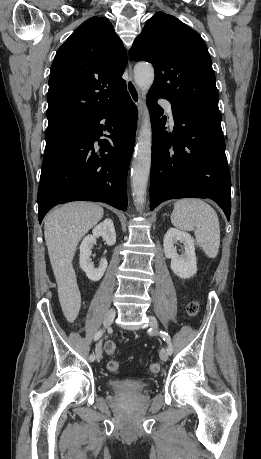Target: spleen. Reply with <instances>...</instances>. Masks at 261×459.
Listing matches in <instances>:
<instances>
[{"instance_id":"obj_1","label":"spleen","mask_w":261,"mask_h":459,"mask_svg":"<svg viewBox=\"0 0 261 459\" xmlns=\"http://www.w3.org/2000/svg\"><path fill=\"white\" fill-rule=\"evenodd\" d=\"M173 226L194 231L197 244L209 258H216L220 246V226L216 211L205 201L185 198L175 202L171 214Z\"/></svg>"}]
</instances>
